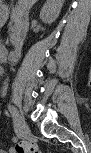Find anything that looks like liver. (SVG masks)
I'll return each instance as SVG.
<instances>
[{
	"mask_svg": "<svg viewBox=\"0 0 91 153\" xmlns=\"http://www.w3.org/2000/svg\"><path fill=\"white\" fill-rule=\"evenodd\" d=\"M36 1L37 0H22L20 2V5H23L26 9H30L36 3ZM53 3L62 5L63 1L62 0H54Z\"/></svg>",
	"mask_w": 91,
	"mask_h": 153,
	"instance_id": "obj_1",
	"label": "liver"
}]
</instances>
